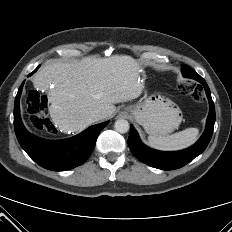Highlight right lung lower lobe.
<instances>
[{
    "label": "right lung lower lobe",
    "instance_id": "right-lung-lower-lobe-1",
    "mask_svg": "<svg viewBox=\"0 0 232 232\" xmlns=\"http://www.w3.org/2000/svg\"><path fill=\"white\" fill-rule=\"evenodd\" d=\"M22 87L23 83L16 95L14 106V128L21 147L36 163L49 170H68L83 164L93 151L99 133L108 122L91 126L79 135L65 140L50 141L38 138L25 129L20 118L19 100Z\"/></svg>",
    "mask_w": 232,
    "mask_h": 232
}]
</instances>
